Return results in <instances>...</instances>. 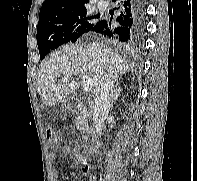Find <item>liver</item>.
<instances>
[{"label":"liver","mask_w":197,"mask_h":181,"mask_svg":"<svg viewBox=\"0 0 197 181\" xmlns=\"http://www.w3.org/2000/svg\"><path fill=\"white\" fill-rule=\"evenodd\" d=\"M131 68L121 56L98 41L84 46L66 45L41 63L37 91L45 106L56 105L77 89L79 83L73 76L82 74L92 77V95L96 96L105 76L116 79ZM61 75L73 80L56 85Z\"/></svg>","instance_id":"6515ba94"}]
</instances>
